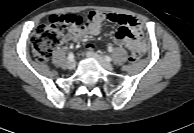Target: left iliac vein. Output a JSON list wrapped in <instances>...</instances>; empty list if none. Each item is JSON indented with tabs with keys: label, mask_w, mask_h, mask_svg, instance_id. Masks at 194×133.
<instances>
[{
	"label": "left iliac vein",
	"mask_w": 194,
	"mask_h": 133,
	"mask_svg": "<svg viewBox=\"0 0 194 133\" xmlns=\"http://www.w3.org/2000/svg\"><path fill=\"white\" fill-rule=\"evenodd\" d=\"M87 56L95 59L104 69H106L108 71H112L114 69L112 64H110L109 62H107L105 59H103L97 53L88 52L87 53Z\"/></svg>",
	"instance_id": "4c4485c4"
}]
</instances>
